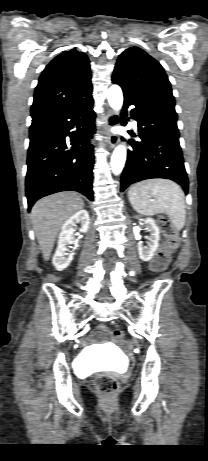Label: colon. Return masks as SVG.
<instances>
[{
	"label": "colon",
	"instance_id": "obj_1",
	"mask_svg": "<svg viewBox=\"0 0 208 461\" xmlns=\"http://www.w3.org/2000/svg\"><path fill=\"white\" fill-rule=\"evenodd\" d=\"M158 226L166 238V243L161 246L152 261V266L155 270H160L166 266L171 251L178 244L176 229L169 219L164 216L159 217ZM113 334L117 340L124 341V333L122 330H115ZM94 388L102 397L108 398L118 390L119 382L110 375L102 374L96 377Z\"/></svg>",
	"mask_w": 208,
	"mask_h": 461
}]
</instances>
